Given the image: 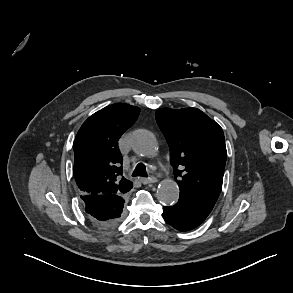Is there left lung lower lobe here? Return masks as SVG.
Listing matches in <instances>:
<instances>
[{
  "mask_svg": "<svg viewBox=\"0 0 293 293\" xmlns=\"http://www.w3.org/2000/svg\"><path fill=\"white\" fill-rule=\"evenodd\" d=\"M209 211L179 198L170 207L163 208V217L167 223L179 231H189L204 222Z\"/></svg>",
  "mask_w": 293,
  "mask_h": 293,
  "instance_id": "obj_1",
  "label": "left lung lower lobe"
}]
</instances>
